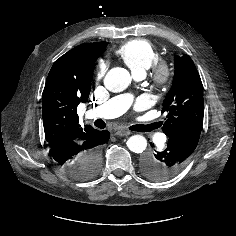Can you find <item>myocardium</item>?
I'll return each instance as SVG.
<instances>
[{"instance_id":"f54148a6","label":"myocardium","mask_w":236,"mask_h":236,"mask_svg":"<svg viewBox=\"0 0 236 236\" xmlns=\"http://www.w3.org/2000/svg\"><path fill=\"white\" fill-rule=\"evenodd\" d=\"M150 69L151 80L156 87L162 88L170 83L173 76V68L168 60L159 59Z\"/></svg>"}]
</instances>
